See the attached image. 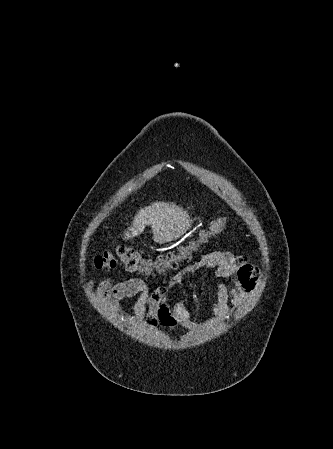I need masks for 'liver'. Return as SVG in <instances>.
<instances>
[{
    "mask_svg": "<svg viewBox=\"0 0 333 449\" xmlns=\"http://www.w3.org/2000/svg\"><path fill=\"white\" fill-rule=\"evenodd\" d=\"M191 224L192 220L182 207L173 203L154 202L140 208L132 225L124 232L123 240L138 236L150 225L154 242L162 244L179 238Z\"/></svg>",
    "mask_w": 333,
    "mask_h": 449,
    "instance_id": "1",
    "label": "liver"
}]
</instances>
